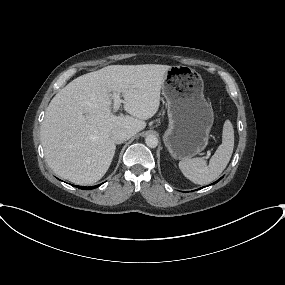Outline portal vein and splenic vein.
<instances>
[{
    "label": "portal vein and splenic vein",
    "mask_w": 285,
    "mask_h": 285,
    "mask_svg": "<svg viewBox=\"0 0 285 285\" xmlns=\"http://www.w3.org/2000/svg\"><path fill=\"white\" fill-rule=\"evenodd\" d=\"M112 98H113V112H116L119 109L121 103H123V100L120 98L119 93H113ZM209 155L210 153L208 152L206 159L209 158Z\"/></svg>",
    "instance_id": "1"
}]
</instances>
